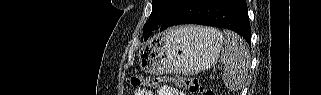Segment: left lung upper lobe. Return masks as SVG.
<instances>
[{
    "label": "left lung upper lobe",
    "mask_w": 321,
    "mask_h": 95,
    "mask_svg": "<svg viewBox=\"0 0 321 95\" xmlns=\"http://www.w3.org/2000/svg\"><path fill=\"white\" fill-rule=\"evenodd\" d=\"M178 0H152L151 15L143 26L144 40L152 34V31L160 28L167 15Z\"/></svg>",
    "instance_id": "obj_1"
}]
</instances>
